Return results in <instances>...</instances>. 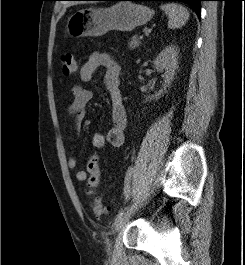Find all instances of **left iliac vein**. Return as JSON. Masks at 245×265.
Returning a JSON list of instances; mask_svg holds the SVG:
<instances>
[{
	"label": "left iliac vein",
	"instance_id": "left-iliac-vein-1",
	"mask_svg": "<svg viewBox=\"0 0 245 265\" xmlns=\"http://www.w3.org/2000/svg\"><path fill=\"white\" fill-rule=\"evenodd\" d=\"M134 209L135 205H132L130 208L127 209L126 213H124V215L121 218L115 220L113 225V233L120 231L122 228L126 226ZM110 251H111V243H107V252L109 253Z\"/></svg>",
	"mask_w": 245,
	"mask_h": 265
}]
</instances>
